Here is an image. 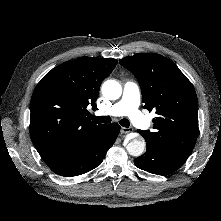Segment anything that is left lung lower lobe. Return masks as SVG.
<instances>
[{
  "label": "left lung lower lobe",
  "mask_w": 221,
  "mask_h": 221,
  "mask_svg": "<svg viewBox=\"0 0 221 221\" xmlns=\"http://www.w3.org/2000/svg\"><path fill=\"white\" fill-rule=\"evenodd\" d=\"M146 146V152L136 158L134 163L138 168L153 174H170L179 169L189 156L153 144H146Z\"/></svg>",
  "instance_id": "0a47b994"
}]
</instances>
